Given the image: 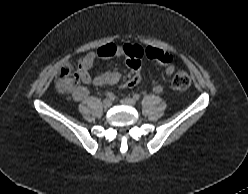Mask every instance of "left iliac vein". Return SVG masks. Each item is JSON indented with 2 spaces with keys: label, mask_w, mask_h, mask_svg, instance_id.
<instances>
[{
  "label": "left iliac vein",
  "mask_w": 248,
  "mask_h": 194,
  "mask_svg": "<svg viewBox=\"0 0 248 194\" xmlns=\"http://www.w3.org/2000/svg\"><path fill=\"white\" fill-rule=\"evenodd\" d=\"M121 103H122L123 105L134 106L136 102H135V100L132 99V98H123V99L121 100Z\"/></svg>",
  "instance_id": "4c4485c4"
}]
</instances>
